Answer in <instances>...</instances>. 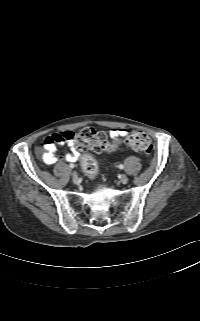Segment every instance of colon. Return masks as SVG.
I'll return each mask as SVG.
<instances>
[{
	"label": "colon",
	"instance_id": "1",
	"mask_svg": "<svg viewBox=\"0 0 200 321\" xmlns=\"http://www.w3.org/2000/svg\"><path fill=\"white\" fill-rule=\"evenodd\" d=\"M80 150H91L95 153L112 151L115 149L111 145L106 135L93 127H85L71 136ZM125 143L136 152L149 155L152 151L150 138L142 131H133L125 140ZM82 169L88 177H95L98 173V165L95 159L89 155L83 157L81 161Z\"/></svg>",
	"mask_w": 200,
	"mask_h": 321
}]
</instances>
